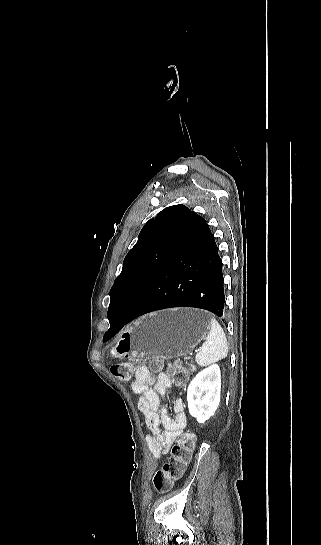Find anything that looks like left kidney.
<instances>
[{"instance_id":"1","label":"left kidney","mask_w":321,"mask_h":545,"mask_svg":"<svg viewBox=\"0 0 321 545\" xmlns=\"http://www.w3.org/2000/svg\"><path fill=\"white\" fill-rule=\"evenodd\" d=\"M221 371L218 365H211L200 371L187 389V401L190 415L198 423H205L214 415L220 403Z\"/></svg>"}]
</instances>
